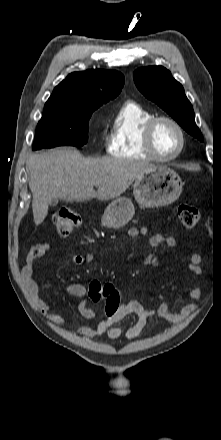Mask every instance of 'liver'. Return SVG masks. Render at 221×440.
<instances>
[{
    "label": "liver",
    "instance_id": "1",
    "mask_svg": "<svg viewBox=\"0 0 221 440\" xmlns=\"http://www.w3.org/2000/svg\"><path fill=\"white\" fill-rule=\"evenodd\" d=\"M154 165L110 157L90 159L72 148L53 149L27 160L35 225L47 216L53 199L66 202L116 198ZM94 186L98 190H94Z\"/></svg>",
    "mask_w": 221,
    "mask_h": 440
}]
</instances>
